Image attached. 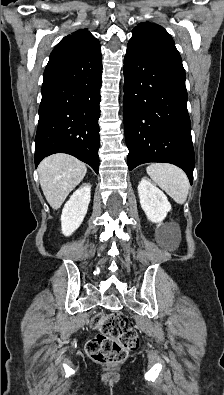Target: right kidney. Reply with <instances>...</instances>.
I'll return each instance as SVG.
<instances>
[{
  "instance_id": "obj_1",
  "label": "right kidney",
  "mask_w": 224,
  "mask_h": 395,
  "mask_svg": "<svg viewBox=\"0 0 224 395\" xmlns=\"http://www.w3.org/2000/svg\"><path fill=\"white\" fill-rule=\"evenodd\" d=\"M91 197V185L85 184L77 189L64 205L61 215V229L70 236L82 224L87 213Z\"/></svg>"
}]
</instances>
